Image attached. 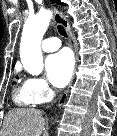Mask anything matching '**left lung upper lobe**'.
<instances>
[{
    "label": "left lung upper lobe",
    "instance_id": "1",
    "mask_svg": "<svg viewBox=\"0 0 117 136\" xmlns=\"http://www.w3.org/2000/svg\"><path fill=\"white\" fill-rule=\"evenodd\" d=\"M53 2H56V3L62 4L59 0H53ZM63 5H65V4H63Z\"/></svg>",
    "mask_w": 117,
    "mask_h": 136
}]
</instances>
